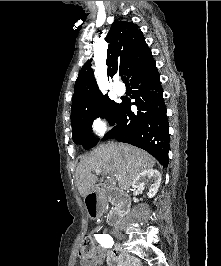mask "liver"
Instances as JSON below:
<instances>
[{
	"label": "liver",
	"mask_w": 221,
	"mask_h": 266,
	"mask_svg": "<svg viewBox=\"0 0 221 266\" xmlns=\"http://www.w3.org/2000/svg\"><path fill=\"white\" fill-rule=\"evenodd\" d=\"M155 159L146 151L128 144L107 143L94 149L83 157L76 168V184L82 197H86L88 189H93L98 177L92 171L101 169L103 176L107 174L121 175L118 186L127 190L134 179L142 171L152 168Z\"/></svg>",
	"instance_id": "1"
}]
</instances>
